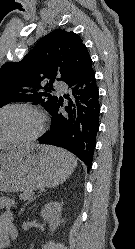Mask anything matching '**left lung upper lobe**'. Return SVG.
I'll return each mask as SVG.
<instances>
[{
	"label": "left lung upper lobe",
	"instance_id": "obj_1",
	"mask_svg": "<svg viewBox=\"0 0 135 249\" xmlns=\"http://www.w3.org/2000/svg\"><path fill=\"white\" fill-rule=\"evenodd\" d=\"M91 63L79 35L56 29L40 39L21 61L0 68V108L13 101H30L51 112L58 102L52 96L55 79L68 84Z\"/></svg>",
	"mask_w": 135,
	"mask_h": 249
}]
</instances>
